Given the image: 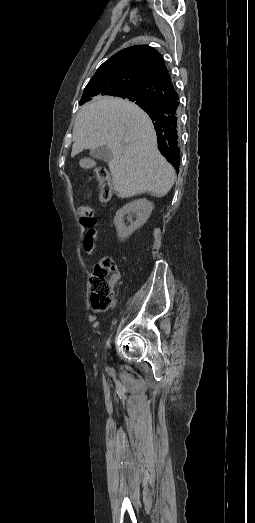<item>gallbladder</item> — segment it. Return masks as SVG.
<instances>
[{
    "label": "gallbladder",
    "mask_w": 255,
    "mask_h": 523,
    "mask_svg": "<svg viewBox=\"0 0 255 523\" xmlns=\"http://www.w3.org/2000/svg\"><path fill=\"white\" fill-rule=\"evenodd\" d=\"M89 154L92 156V158H97V160H104V162H111L113 158V154L106 144L105 146H100V148H94V150H90Z\"/></svg>",
    "instance_id": "gallbladder-1"
}]
</instances>
